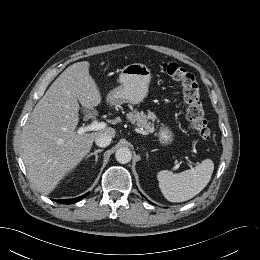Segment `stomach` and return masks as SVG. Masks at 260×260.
Returning a JSON list of instances; mask_svg holds the SVG:
<instances>
[{
	"instance_id": "stomach-1",
	"label": "stomach",
	"mask_w": 260,
	"mask_h": 260,
	"mask_svg": "<svg viewBox=\"0 0 260 260\" xmlns=\"http://www.w3.org/2000/svg\"><path fill=\"white\" fill-rule=\"evenodd\" d=\"M151 80L150 69L141 63L125 66L119 75L120 86L111 90L107 101L112 105L123 103L138 104L147 96ZM159 142L169 145L174 140V134L169 127L162 126L158 133Z\"/></svg>"
}]
</instances>
